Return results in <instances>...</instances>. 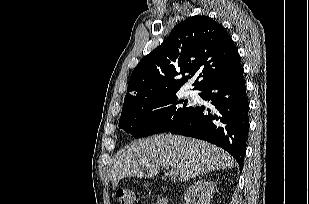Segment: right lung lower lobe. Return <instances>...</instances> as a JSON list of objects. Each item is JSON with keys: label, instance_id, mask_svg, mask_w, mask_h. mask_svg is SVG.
Instances as JSON below:
<instances>
[{"label": "right lung lower lobe", "instance_id": "1", "mask_svg": "<svg viewBox=\"0 0 309 204\" xmlns=\"http://www.w3.org/2000/svg\"><path fill=\"white\" fill-rule=\"evenodd\" d=\"M200 97L210 101L213 109L195 107L169 132L211 142L244 165L249 130V103L244 69L239 66L232 74L210 82L201 89Z\"/></svg>", "mask_w": 309, "mask_h": 204}]
</instances>
